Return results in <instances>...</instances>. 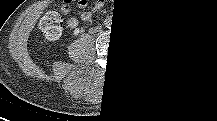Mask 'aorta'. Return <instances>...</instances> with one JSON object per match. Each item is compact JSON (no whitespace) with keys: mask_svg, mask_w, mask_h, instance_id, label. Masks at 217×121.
Here are the masks:
<instances>
[{"mask_svg":"<svg viewBox=\"0 0 217 121\" xmlns=\"http://www.w3.org/2000/svg\"><path fill=\"white\" fill-rule=\"evenodd\" d=\"M104 25H105V27H107V28H110V27H111V25H112L111 17H108L107 19H105Z\"/></svg>","mask_w":217,"mask_h":121,"instance_id":"1","label":"aorta"}]
</instances>
